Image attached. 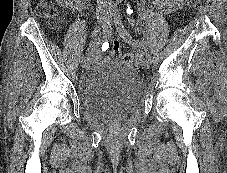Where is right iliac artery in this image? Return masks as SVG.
I'll return each mask as SVG.
<instances>
[{
    "mask_svg": "<svg viewBox=\"0 0 227 173\" xmlns=\"http://www.w3.org/2000/svg\"><path fill=\"white\" fill-rule=\"evenodd\" d=\"M111 35V28H110V22H108V24L103 28V37L99 39V41H91V43L89 44V47H99L100 45H102L103 43L106 42V39L109 38ZM84 59V56L82 57V60Z\"/></svg>",
    "mask_w": 227,
    "mask_h": 173,
    "instance_id": "right-iliac-artery-1",
    "label": "right iliac artery"
}]
</instances>
